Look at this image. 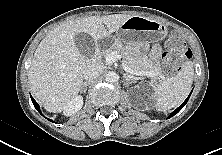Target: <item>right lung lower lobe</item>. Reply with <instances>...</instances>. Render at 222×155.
Returning a JSON list of instances; mask_svg holds the SVG:
<instances>
[{"instance_id": "right-lung-lower-lobe-1", "label": "right lung lower lobe", "mask_w": 222, "mask_h": 155, "mask_svg": "<svg viewBox=\"0 0 222 155\" xmlns=\"http://www.w3.org/2000/svg\"><path fill=\"white\" fill-rule=\"evenodd\" d=\"M31 100H32V102H33L34 107H35V108L37 109V111L42 115L39 105L37 104V102L34 100V98H33L32 96H31ZM47 119H48V118H47ZM48 120H50V119H48ZM50 121L53 122L52 120H50Z\"/></svg>"}]
</instances>
